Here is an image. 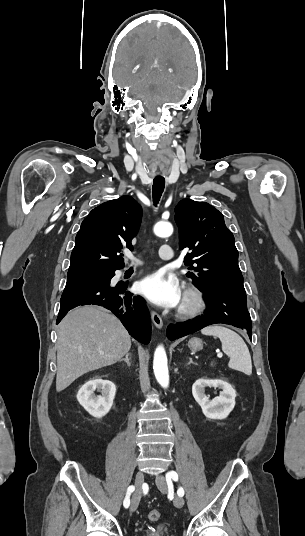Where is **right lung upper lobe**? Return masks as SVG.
<instances>
[{
    "instance_id": "right-lung-upper-lobe-1",
    "label": "right lung upper lobe",
    "mask_w": 305,
    "mask_h": 536,
    "mask_svg": "<svg viewBox=\"0 0 305 536\" xmlns=\"http://www.w3.org/2000/svg\"><path fill=\"white\" fill-rule=\"evenodd\" d=\"M141 219V206L130 196L93 209L76 235L67 278L123 268L124 260L118 253L125 247L133 249L131 240Z\"/></svg>"
}]
</instances>
